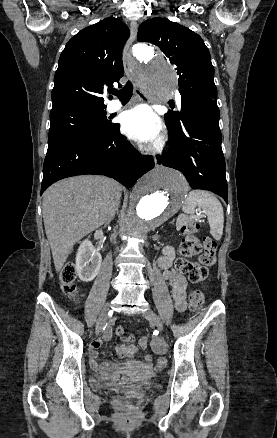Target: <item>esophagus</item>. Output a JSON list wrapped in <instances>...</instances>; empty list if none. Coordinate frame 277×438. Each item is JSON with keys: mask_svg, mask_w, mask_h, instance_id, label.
<instances>
[{"mask_svg": "<svg viewBox=\"0 0 277 438\" xmlns=\"http://www.w3.org/2000/svg\"><path fill=\"white\" fill-rule=\"evenodd\" d=\"M137 31H138L137 22H136V20H132V22L130 24V39L128 40V42L125 46V49H124V58L125 59H129L132 57L131 45L136 39ZM135 94L137 95V97L140 100H143L146 97L145 94L143 93V91L138 86L135 88Z\"/></svg>", "mask_w": 277, "mask_h": 438, "instance_id": "esophagus-1", "label": "esophagus"}]
</instances>
